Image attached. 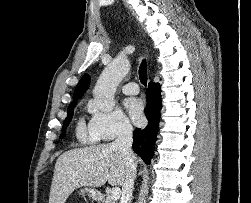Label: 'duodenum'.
<instances>
[{
    "instance_id": "410a0bca",
    "label": "duodenum",
    "mask_w": 251,
    "mask_h": 203,
    "mask_svg": "<svg viewBox=\"0 0 251 203\" xmlns=\"http://www.w3.org/2000/svg\"><path fill=\"white\" fill-rule=\"evenodd\" d=\"M97 198L101 199L102 198V194L98 193L97 194Z\"/></svg>"
}]
</instances>
